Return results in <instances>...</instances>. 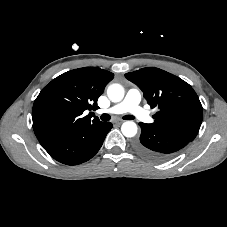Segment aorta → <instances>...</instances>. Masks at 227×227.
Segmentation results:
<instances>
[{
  "label": "aorta",
  "instance_id": "aorta-1",
  "mask_svg": "<svg viewBox=\"0 0 227 227\" xmlns=\"http://www.w3.org/2000/svg\"><path fill=\"white\" fill-rule=\"evenodd\" d=\"M107 96L112 102H120L124 98L123 86L117 83L109 85ZM137 130V125L133 121H126L121 126L122 134L125 137H134L137 134Z\"/></svg>",
  "mask_w": 227,
  "mask_h": 227
}]
</instances>
